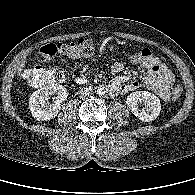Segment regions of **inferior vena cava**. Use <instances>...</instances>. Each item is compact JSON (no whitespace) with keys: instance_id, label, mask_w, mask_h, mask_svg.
I'll use <instances>...</instances> for the list:
<instances>
[{"instance_id":"inferior-vena-cava-1","label":"inferior vena cava","mask_w":195,"mask_h":195,"mask_svg":"<svg viewBox=\"0 0 195 195\" xmlns=\"http://www.w3.org/2000/svg\"><path fill=\"white\" fill-rule=\"evenodd\" d=\"M93 94V87L92 86H85L80 89L79 95L81 98L90 97Z\"/></svg>"}]
</instances>
